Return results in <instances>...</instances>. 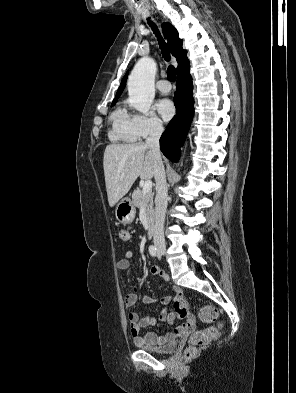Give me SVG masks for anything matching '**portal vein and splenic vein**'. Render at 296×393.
I'll list each match as a JSON object with an SVG mask.
<instances>
[{
  "instance_id": "obj_1",
  "label": "portal vein and splenic vein",
  "mask_w": 296,
  "mask_h": 393,
  "mask_svg": "<svg viewBox=\"0 0 296 393\" xmlns=\"http://www.w3.org/2000/svg\"><path fill=\"white\" fill-rule=\"evenodd\" d=\"M152 188V181L151 180H146L144 185H143V193H147L151 191Z\"/></svg>"
}]
</instances>
